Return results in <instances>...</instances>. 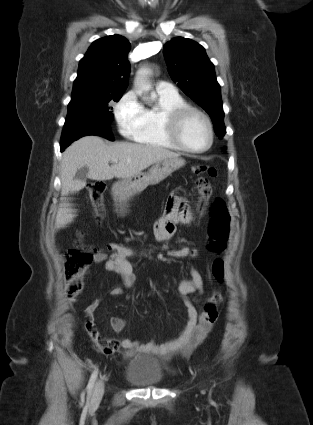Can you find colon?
Listing matches in <instances>:
<instances>
[{"mask_svg":"<svg viewBox=\"0 0 313 425\" xmlns=\"http://www.w3.org/2000/svg\"><path fill=\"white\" fill-rule=\"evenodd\" d=\"M192 173L196 177V189L200 196V205L202 206L212 194V187L209 180L204 175L214 178L217 174L215 168L205 164L193 166ZM105 185L102 182H93L87 186L88 196L92 204L97 208V218L101 216V203ZM209 224V244L207 249L211 253L219 254L225 251L227 241L230 235V215L226 206V202L217 198L214 200L210 209ZM80 244L76 248L70 249L65 254V272H66V289L70 297L78 296L84 284V278L89 271V267L93 262V254L89 251L79 249ZM193 255L198 252L193 251ZM225 269L224 261L216 259L213 261L210 276L216 281L224 279ZM213 304L219 305L221 294L213 291L209 297Z\"/></svg>","mask_w":313,"mask_h":425,"instance_id":"obj_1","label":"colon"}]
</instances>
